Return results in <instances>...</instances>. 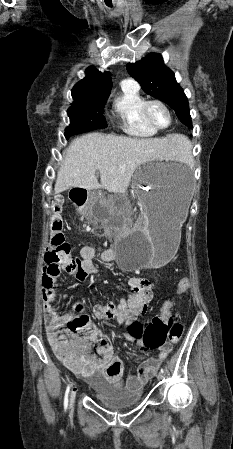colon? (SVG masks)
I'll use <instances>...</instances> for the list:
<instances>
[{"label":"colon","mask_w":233,"mask_h":449,"mask_svg":"<svg viewBox=\"0 0 233 449\" xmlns=\"http://www.w3.org/2000/svg\"><path fill=\"white\" fill-rule=\"evenodd\" d=\"M61 201L52 202L53 215L50 222V234L46 248L45 261L47 264H61L75 266L76 259L71 254V247L63 234L64 223L60 215ZM189 278L179 277L176 281V294L183 296L189 291ZM173 301H166L160 313L154 315L145 330L142 332L139 325H132L126 329L124 335L131 338L133 343H141L144 351L156 349H169L172 343H177L182 336V325L171 315ZM46 317L49 321V339L59 358L72 369H79L83 363L78 359L68 344L72 333L77 334L75 340L81 352L94 350L98 361L108 364L103 357L112 347L111 342L96 334L87 316L64 318L59 309L50 304L46 308ZM65 343V344H62Z\"/></svg>","instance_id":"5ec220e1"}]
</instances>
